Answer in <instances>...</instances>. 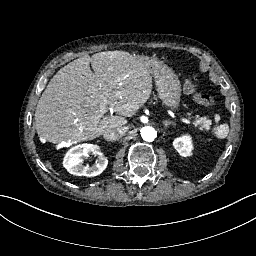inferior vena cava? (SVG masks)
<instances>
[{
    "mask_svg": "<svg viewBox=\"0 0 256 256\" xmlns=\"http://www.w3.org/2000/svg\"><path fill=\"white\" fill-rule=\"evenodd\" d=\"M124 131L121 128L109 129L103 133V137L108 141H115L122 137Z\"/></svg>",
    "mask_w": 256,
    "mask_h": 256,
    "instance_id": "obj_1",
    "label": "inferior vena cava"
}]
</instances>
